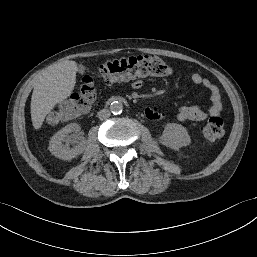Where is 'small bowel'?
Here are the masks:
<instances>
[{
    "label": "small bowel",
    "instance_id": "obj_1",
    "mask_svg": "<svg viewBox=\"0 0 257 257\" xmlns=\"http://www.w3.org/2000/svg\"><path fill=\"white\" fill-rule=\"evenodd\" d=\"M189 81L197 86H202L209 92L210 105L207 109H204L198 105H185L180 107L176 112V118L179 121H195L199 122L206 119L208 116H218L222 111V99L218 87L212 83L209 79L204 78L199 73H189ZM142 86L141 81L133 82L134 88ZM145 115L150 120H161L164 117V113L157 107H150L145 110Z\"/></svg>",
    "mask_w": 257,
    "mask_h": 257
}]
</instances>
